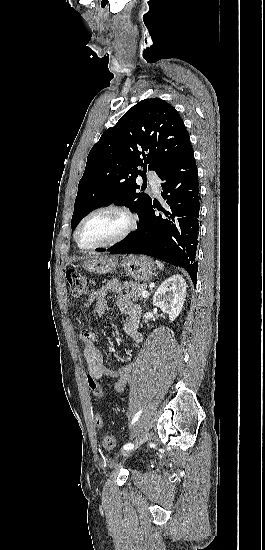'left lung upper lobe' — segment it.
<instances>
[{"label":"left lung upper lobe","instance_id":"left-lung-upper-lobe-1","mask_svg":"<svg viewBox=\"0 0 265 550\" xmlns=\"http://www.w3.org/2000/svg\"><path fill=\"white\" fill-rule=\"evenodd\" d=\"M188 143L190 137L178 112L162 99H145L131 107L89 152L78 185L72 230L92 210L112 202L130 207L141 221L152 199L137 192L136 178L142 175L137 167L160 176Z\"/></svg>","mask_w":265,"mask_h":550}]
</instances>
